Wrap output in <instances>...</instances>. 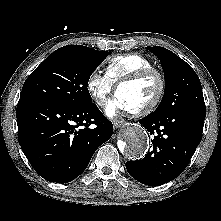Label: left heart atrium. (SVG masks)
Returning <instances> with one entry per match:
<instances>
[{
    "instance_id": "1",
    "label": "left heart atrium",
    "mask_w": 221,
    "mask_h": 221,
    "mask_svg": "<svg viewBox=\"0 0 221 221\" xmlns=\"http://www.w3.org/2000/svg\"><path fill=\"white\" fill-rule=\"evenodd\" d=\"M130 109L124 101L116 95L107 105L106 114L110 117L116 116L120 111H129Z\"/></svg>"
}]
</instances>
